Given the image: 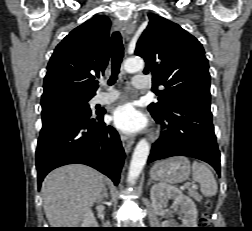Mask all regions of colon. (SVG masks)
I'll return each mask as SVG.
<instances>
[{"mask_svg":"<svg viewBox=\"0 0 252 231\" xmlns=\"http://www.w3.org/2000/svg\"><path fill=\"white\" fill-rule=\"evenodd\" d=\"M205 207L208 210L211 207V203L210 202H206L205 203ZM201 225H206L209 223V218H208V212H204L199 220Z\"/></svg>","mask_w":252,"mask_h":231,"instance_id":"1","label":"colon"}]
</instances>
